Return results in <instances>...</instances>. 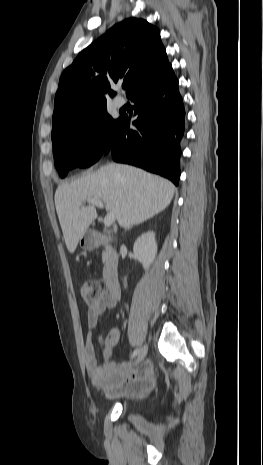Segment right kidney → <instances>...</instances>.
I'll list each match as a JSON object with an SVG mask.
<instances>
[{
    "mask_svg": "<svg viewBox=\"0 0 263 465\" xmlns=\"http://www.w3.org/2000/svg\"><path fill=\"white\" fill-rule=\"evenodd\" d=\"M133 252L134 257L142 263L143 268L148 270L157 254L155 233L149 231L139 236L134 243Z\"/></svg>",
    "mask_w": 263,
    "mask_h": 465,
    "instance_id": "obj_1",
    "label": "right kidney"
}]
</instances>
